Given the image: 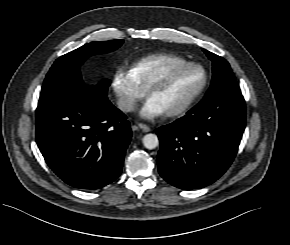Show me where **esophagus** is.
<instances>
[{"label":"esophagus","mask_w":290,"mask_h":245,"mask_svg":"<svg viewBox=\"0 0 290 245\" xmlns=\"http://www.w3.org/2000/svg\"><path fill=\"white\" fill-rule=\"evenodd\" d=\"M138 127H139L140 129H142L144 132H149V131H150V127L147 126L146 124L138 123Z\"/></svg>","instance_id":"esophagus-1"}]
</instances>
